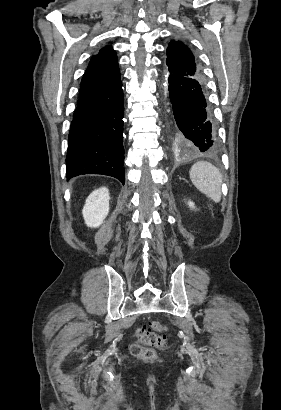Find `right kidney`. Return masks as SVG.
I'll return each instance as SVG.
<instances>
[{
  "mask_svg": "<svg viewBox=\"0 0 281 410\" xmlns=\"http://www.w3.org/2000/svg\"><path fill=\"white\" fill-rule=\"evenodd\" d=\"M109 190L101 187L86 199L82 210L85 224L90 228L99 227L109 213Z\"/></svg>",
  "mask_w": 281,
  "mask_h": 410,
  "instance_id": "1",
  "label": "right kidney"
}]
</instances>
